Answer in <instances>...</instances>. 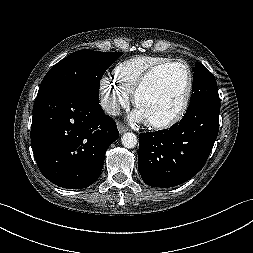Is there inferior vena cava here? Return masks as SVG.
Listing matches in <instances>:
<instances>
[{
  "label": "inferior vena cava",
  "instance_id": "602c4592",
  "mask_svg": "<svg viewBox=\"0 0 253 253\" xmlns=\"http://www.w3.org/2000/svg\"><path fill=\"white\" fill-rule=\"evenodd\" d=\"M101 106L109 115L117 116L120 114L119 104L115 101L104 100L101 102Z\"/></svg>",
  "mask_w": 253,
  "mask_h": 253
}]
</instances>
